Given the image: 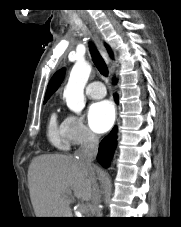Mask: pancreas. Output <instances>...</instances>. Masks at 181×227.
I'll return each mask as SVG.
<instances>
[{
	"label": "pancreas",
	"mask_w": 181,
	"mask_h": 227,
	"mask_svg": "<svg viewBox=\"0 0 181 227\" xmlns=\"http://www.w3.org/2000/svg\"><path fill=\"white\" fill-rule=\"evenodd\" d=\"M86 211H87L86 214H88V212H89L88 209Z\"/></svg>",
	"instance_id": "obj_1"
}]
</instances>
